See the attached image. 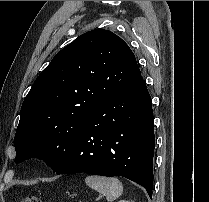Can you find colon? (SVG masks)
Here are the masks:
<instances>
[{"instance_id":"obj_1","label":"colon","mask_w":209,"mask_h":202,"mask_svg":"<svg viewBox=\"0 0 209 202\" xmlns=\"http://www.w3.org/2000/svg\"><path fill=\"white\" fill-rule=\"evenodd\" d=\"M19 202H43V201L38 197L30 196L23 198Z\"/></svg>"}]
</instances>
